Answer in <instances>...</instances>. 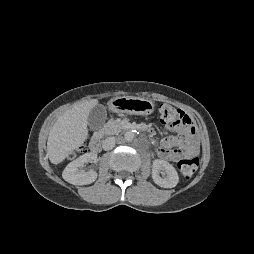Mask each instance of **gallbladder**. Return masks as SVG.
<instances>
[{"label": "gallbladder", "mask_w": 254, "mask_h": 254, "mask_svg": "<svg viewBox=\"0 0 254 254\" xmlns=\"http://www.w3.org/2000/svg\"><path fill=\"white\" fill-rule=\"evenodd\" d=\"M107 116L106 108L103 105H97L92 108L88 115V126L91 130L99 129L105 122Z\"/></svg>", "instance_id": "1"}]
</instances>
